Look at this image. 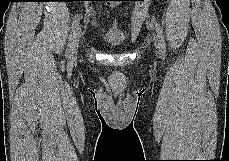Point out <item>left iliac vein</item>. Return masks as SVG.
I'll return each mask as SVG.
<instances>
[{"label":"left iliac vein","instance_id":"1","mask_svg":"<svg viewBox=\"0 0 229 161\" xmlns=\"http://www.w3.org/2000/svg\"><path fill=\"white\" fill-rule=\"evenodd\" d=\"M153 41H154V45L156 47L157 52H160V45H159V41L157 39V36L155 34H153Z\"/></svg>","mask_w":229,"mask_h":161}]
</instances>
